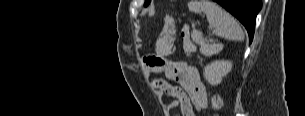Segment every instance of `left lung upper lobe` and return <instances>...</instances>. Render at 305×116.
I'll list each match as a JSON object with an SVG mask.
<instances>
[{
  "mask_svg": "<svg viewBox=\"0 0 305 116\" xmlns=\"http://www.w3.org/2000/svg\"><path fill=\"white\" fill-rule=\"evenodd\" d=\"M149 2H150L149 0H146L145 5H147Z\"/></svg>",
  "mask_w": 305,
  "mask_h": 116,
  "instance_id": "obj_1",
  "label": "left lung upper lobe"
}]
</instances>
